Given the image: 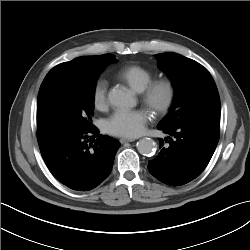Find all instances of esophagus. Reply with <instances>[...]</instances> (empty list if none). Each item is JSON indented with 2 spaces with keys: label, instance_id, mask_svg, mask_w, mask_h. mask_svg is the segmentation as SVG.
<instances>
[{
  "label": "esophagus",
  "instance_id": "obj_1",
  "mask_svg": "<svg viewBox=\"0 0 250 250\" xmlns=\"http://www.w3.org/2000/svg\"><path fill=\"white\" fill-rule=\"evenodd\" d=\"M133 141H135V139H130V138H121L120 139V142L122 144L127 143V142H133Z\"/></svg>",
  "mask_w": 250,
  "mask_h": 250
}]
</instances>
